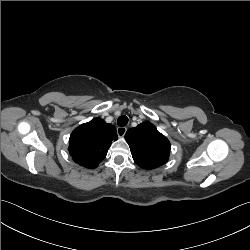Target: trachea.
<instances>
[{"instance_id":"3493384b","label":"trachea","mask_w":250,"mask_h":250,"mask_svg":"<svg viewBox=\"0 0 250 250\" xmlns=\"http://www.w3.org/2000/svg\"><path fill=\"white\" fill-rule=\"evenodd\" d=\"M128 123V117L125 115H122L118 118L117 124L121 127L126 126Z\"/></svg>"}]
</instances>
